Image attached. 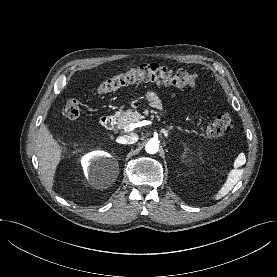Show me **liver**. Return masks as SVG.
Instances as JSON below:
<instances>
[{"label":"liver","mask_w":277,"mask_h":277,"mask_svg":"<svg viewBox=\"0 0 277 277\" xmlns=\"http://www.w3.org/2000/svg\"><path fill=\"white\" fill-rule=\"evenodd\" d=\"M39 168L43 180L51 187L56 168L63 158L64 147L58 144L46 124H42L37 134Z\"/></svg>","instance_id":"6515ba94"}]
</instances>
